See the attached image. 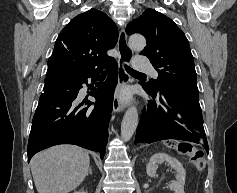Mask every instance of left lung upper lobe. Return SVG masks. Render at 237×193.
I'll use <instances>...</instances> for the list:
<instances>
[{
  "label": "left lung upper lobe",
  "instance_id": "1",
  "mask_svg": "<svg viewBox=\"0 0 237 193\" xmlns=\"http://www.w3.org/2000/svg\"><path fill=\"white\" fill-rule=\"evenodd\" d=\"M126 32L145 36L147 46L141 55L147 56L159 76L146 85L154 91L197 89L196 71L189 42L183 31L167 16L147 9L130 22Z\"/></svg>",
  "mask_w": 237,
  "mask_h": 193
}]
</instances>
